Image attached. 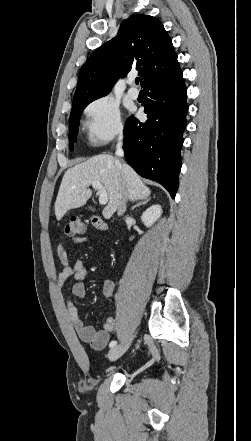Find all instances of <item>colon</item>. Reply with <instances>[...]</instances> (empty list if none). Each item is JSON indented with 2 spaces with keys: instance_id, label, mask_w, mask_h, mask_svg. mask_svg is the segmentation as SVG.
Returning <instances> with one entry per match:
<instances>
[{
  "instance_id": "5ec220e1",
  "label": "colon",
  "mask_w": 251,
  "mask_h": 441,
  "mask_svg": "<svg viewBox=\"0 0 251 441\" xmlns=\"http://www.w3.org/2000/svg\"><path fill=\"white\" fill-rule=\"evenodd\" d=\"M85 232L84 223L77 217H71L62 228V233L65 237H77Z\"/></svg>"
}]
</instances>
